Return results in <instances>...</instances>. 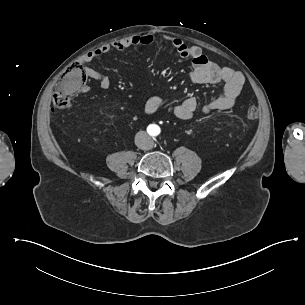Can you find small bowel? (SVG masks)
Segmentation results:
<instances>
[{
    "instance_id": "c3829d8e",
    "label": "small bowel",
    "mask_w": 305,
    "mask_h": 305,
    "mask_svg": "<svg viewBox=\"0 0 305 305\" xmlns=\"http://www.w3.org/2000/svg\"><path fill=\"white\" fill-rule=\"evenodd\" d=\"M165 38L171 43L179 57L191 60L193 67L190 72V79L192 82L200 84L224 83L221 93L203 106L200 107L196 98L189 97L173 105L171 112L177 118L188 121L198 111L209 114L213 111L227 110L233 107L244 85V76L231 68L218 66L204 55L199 46L188 45L176 37L165 36ZM154 39L155 35L152 33L135 35L87 52L81 58L85 75L89 79L96 81L102 89H108L111 86L110 78L90 67L89 63L112 51L124 52L131 47L149 45ZM89 89L88 86H83L81 92L87 93ZM162 106V98L152 96L145 102L144 110L146 113L152 114L159 111Z\"/></svg>"
}]
</instances>
